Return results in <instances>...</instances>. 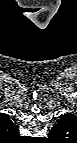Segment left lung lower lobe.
I'll list each match as a JSON object with an SVG mask.
<instances>
[{
	"label": "left lung lower lobe",
	"mask_w": 77,
	"mask_h": 143,
	"mask_svg": "<svg viewBox=\"0 0 77 143\" xmlns=\"http://www.w3.org/2000/svg\"><path fill=\"white\" fill-rule=\"evenodd\" d=\"M67 117H70V115H68V114H66V115H62L61 117H60V119H64V118H67ZM59 119V120H60ZM60 134H55L54 132H51L50 131V133H49V136L50 137H57V136H59Z\"/></svg>",
	"instance_id": "obj_1"
}]
</instances>
